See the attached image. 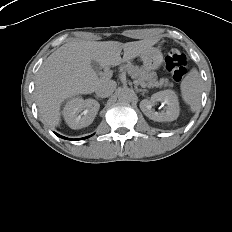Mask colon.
<instances>
[{
  "label": "colon",
  "mask_w": 232,
  "mask_h": 232,
  "mask_svg": "<svg viewBox=\"0 0 232 232\" xmlns=\"http://www.w3.org/2000/svg\"><path fill=\"white\" fill-rule=\"evenodd\" d=\"M164 63L167 72L174 81L179 82L183 79L187 71V59L183 53L177 49L170 50Z\"/></svg>",
  "instance_id": "obj_1"
}]
</instances>
